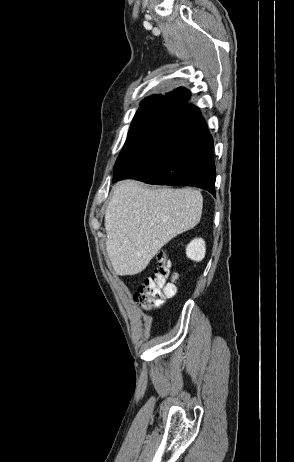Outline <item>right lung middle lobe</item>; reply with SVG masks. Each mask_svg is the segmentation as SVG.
I'll list each match as a JSON object with an SVG mask.
<instances>
[{
    "label": "right lung middle lobe",
    "instance_id": "obj_1",
    "mask_svg": "<svg viewBox=\"0 0 294 462\" xmlns=\"http://www.w3.org/2000/svg\"><path fill=\"white\" fill-rule=\"evenodd\" d=\"M185 100L168 97L142 104L130 127L126 143L115 164L122 170L147 145L156 140L186 109Z\"/></svg>",
    "mask_w": 294,
    "mask_h": 462
}]
</instances>
